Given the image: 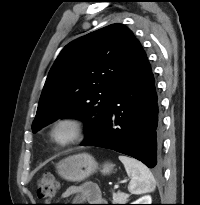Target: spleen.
<instances>
[{"instance_id":"spleen-1","label":"spleen","mask_w":200,"mask_h":205,"mask_svg":"<svg viewBox=\"0 0 200 205\" xmlns=\"http://www.w3.org/2000/svg\"><path fill=\"white\" fill-rule=\"evenodd\" d=\"M119 160L123 163L128 176L131 178L128 190L132 194H143L154 191L156 181L149 168L142 162L120 155Z\"/></svg>"}]
</instances>
